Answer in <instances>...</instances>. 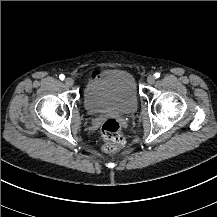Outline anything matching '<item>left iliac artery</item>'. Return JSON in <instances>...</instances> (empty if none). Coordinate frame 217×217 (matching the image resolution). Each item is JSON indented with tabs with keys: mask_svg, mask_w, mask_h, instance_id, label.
Instances as JSON below:
<instances>
[{
	"mask_svg": "<svg viewBox=\"0 0 217 217\" xmlns=\"http://www.w3.org/2000/svg\"><path fill=\"white\" fill-rule=\"evenodd\" d=\"M154 76H155V78H159L160 77V73L157 72V73L154 74Z\"/></svg>",
	"mask_w": 217,
	"mask_h": 217,
	"instance_id": "1",
	"label": "left iliac artery"
}]
</instances>
